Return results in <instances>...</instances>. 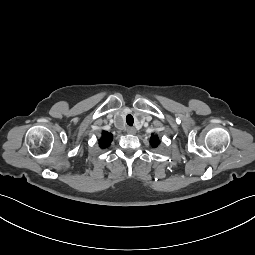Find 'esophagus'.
I'll return each mask as SVG.
<instances>
[{"mask_svg":"<svg viewBox=\"0 0 255 255\" xmlns=\"http://www.w3.org/2000/svg\"><path fill=\"white\" fill-rule=\"evenodd\" d=\"M126 131H127V133H129V134H135V133H136V130H135L133 127H128V128L126 129Z\"/></svg>","mask_w":255,"mask_h":255,"instance_id":"esophagus-1","label":"esophagus"}]
</instances>
